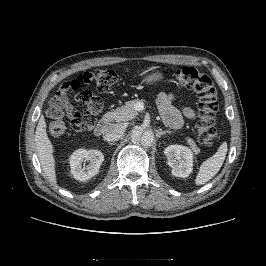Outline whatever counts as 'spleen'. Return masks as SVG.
<instances>
[{
    "mask_svg": "<svg viewBox=\"0 0 266 266\" xmlns=\"http://www.w3.org/2000/svg\"><path fill=\"white\" fill-rule=\"evenodd\" d=\"M227 150V143L224 142L214 155L203 161L195 179L196 185H204L218 173L225 161Z\"/></svg>",
    "mask_w": 266,
    "mask_h": 266,
    "instance_id": "1",
    "label": "spleen"
}]
</instances>
